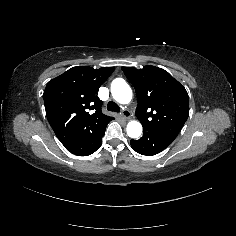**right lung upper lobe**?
<instances>
[{
  "label": "right lung upper lobe",
  "instance_id": "cb5924a9",
  "mask_svg": "<svg viewBox=\"0 0 236 236\" xmlns=\"http://www.w3.org/2000/svg\"><path fill=\"white\" fill-rule=\"evenodd\" d=\"M113 71V67H73L47 83L46 116L64 146L114 119L102 113V101L96 95Z\"/></svg>",
  "mask_w": 236,
  "mask_h": 236
}]
</instances>
